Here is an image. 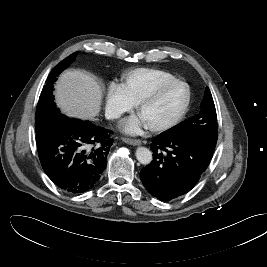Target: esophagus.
Segmentation results:
<instances>
[{"instance_id": "esophagus-1", "label": "esophagus", "mask_w": 267, "mask_h": 267, "mask_svg": "<svg viewBox=\"0 0 267 267\" xmlns=\"http://www.w3.org/2000/svg\"><path fill=\"white\" fill-rule=\"evenodd\" d=\"M123 141L125 143L133 145V146H137V145L141 144V140L140 139L123 138Z\"/></svg>"}]
</instances>
